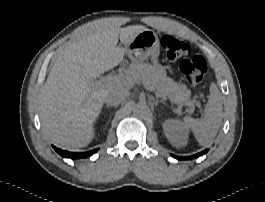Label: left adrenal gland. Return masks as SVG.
I'll list each match as a JSON object with an SVG mask.
<instances>
[{
    "mask_svg": "<svg viewBox=\"0 0 265 202\" xmlns=\"http://www.w3.org/2000/svg\"><path fill=\"white\" fill-rule=\"evenodd\" d=\"M153 102H154V104H155V106L157 107L158 106V104L160 103V101L159 100H156V99H154L153 98Z\"/></svg>",
    "mask_w": 265,
    "mask_h": 202,
    "instance_id": "a2214340",
    "label": "left adrenal gland"
}]
</instances>
